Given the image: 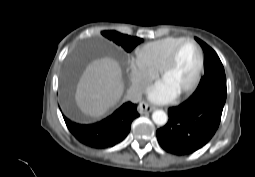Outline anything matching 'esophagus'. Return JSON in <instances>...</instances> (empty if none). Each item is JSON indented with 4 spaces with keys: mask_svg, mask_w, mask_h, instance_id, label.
Wrapping results in <instances>:
<instances>
[{
    "mask_svg": "<svg viewBox=\"0 0 255 177\" xmlns=\"http://www.w3.org/2000/svg\"><path fill=\"white\" fill-rule=\"evenodd\" d=\"M155 109L154 106L146 103V102H141L138 106V112L143 115L149 112H152Z\"/></svg>",
    "mask_w": 255,
    "mask_h": 177,
    "instance_id": "34e87169",
    "label": "esophagus"
}]
</instances>
